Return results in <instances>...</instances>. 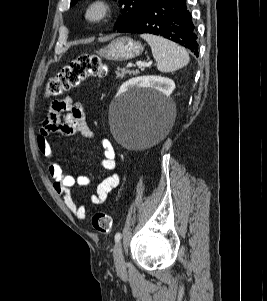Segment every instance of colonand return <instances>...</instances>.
<instances>
[{
  "instance_id": "colon-1",
  "label": "colon",
  "mask_w": 267,
  "mask_h": 301,
  "mask_svg": "<svg viewBox=\"0 0 267 301\" xmlns=\"http://www.w3.org/2000/svg\"><path fill=\"white\" fill-rule=\"evenodd\" d=\"M107 73L108 67L99 56L83 54L48 80L45 96H59L88 77L104 78ZM92 225L97 232L108 234L112 229V219L107 213L98 211L92 216Z\"/></svg>"
}]
</instances>
